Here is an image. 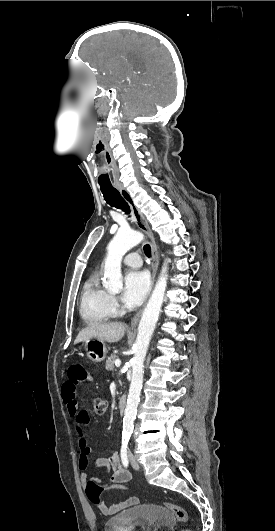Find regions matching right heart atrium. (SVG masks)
<instances>
[{
	"mask_svg": "<svg viewBox=\"0 0 275 531\" xmlns=\"http://www.w3.org/2000/svg\"><path fill=\"white\" fill-rule=\"evenodd\" d=\"M108 304H109V307H110V310L112 311L113 314L117 313L120 309V304H119V300L117 298V296L109 293L108 294Z\"/></svg>",
	"mask_w": 275,
	"mask_h": 531,
	"instance_id": "d8ad5b80",
	"label": "right heart atrium"
}]
</instances>
